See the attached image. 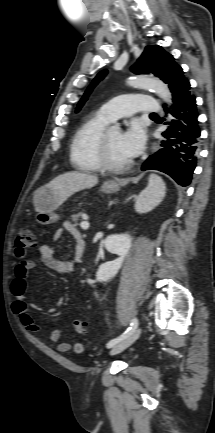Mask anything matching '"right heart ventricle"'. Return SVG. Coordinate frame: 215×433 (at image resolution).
<instances>
[{
	"instance_id": "1",
	"label": "right heart ventricle",
	"mask_w": 215,
	"mask_h": 433,
	"mask_svg": "<svg viewBox=\"0 0 215 433\" xmlns=\"http://www.w3.org/2000/svg\"><path fill=\"white\" fill-rule=\"evenodd\" d=\"M110 122L98 111L90 115L76 130L70 147L71 163L76 169L88 172L102 169L98 146Z\"/></svg>"
}]
</instances>
